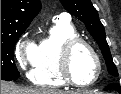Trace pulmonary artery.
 Segmentation results:
<instances>
[{"mask_svg": "<svg viewBox=\"0 0 121 94\" xmlns=\"http://www.w3.org/2000/svg\"><path fill=\"white\" fill-rule=\"evenodd\" d=\"M59 18L62 20H67L68 16L66 14H61V15H59Z\"/></svg>", "mask_w": 121, "mask_h": 94, "instance_id": "obj_1", "label": "pulmonary artery"}]
</instances>
